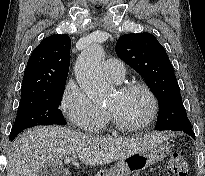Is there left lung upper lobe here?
<instances>
[{
  "mask_svg": "<svg viewBox=\"0 0 205 176\" xmlns=\"http://www.w3.org/2000/svg\"><path fill=\"white\" fill-rule=\"evenodd\" d=\"M115 50L122 60L145 79L159 100L156 129L191 128L173 66L156 37L150 33L125 34L118 39Z\"/></svg>",
  "mask_w": 205,
  "mask_h": 176,
  "instance_id": "1",
  "label": "left lung upper lobe"
}]
</instances>
